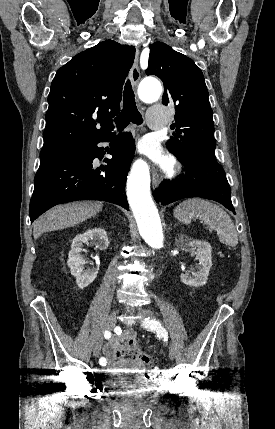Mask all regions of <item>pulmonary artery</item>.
<instances>
[{"label": "pulmonary artery", "instance_id": "1", "mask_svg": "<svg viewBox=\"0 0 275 429\" xmlns=\"http://www.w3.org/2000/svg\"><path fill=\"white\" fill-rule=\"evenodd\" d=\"M147 119L150 128L159 129L166 125L167 123V113L161 107H152L147 113Z\"/></svg>", "mask_w": 275, "mask_h": 429}]
</instances>
